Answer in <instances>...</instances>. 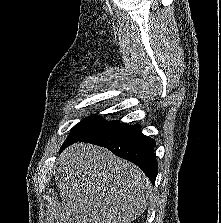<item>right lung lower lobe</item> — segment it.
Returning a JSON list of instances; mask_svg holds the SVG:
<instances>
[{
	"instance_id": "right-lung-lower-lobe-1",
	"label": "right lung lower lobe",
	"mask_w": 221,
	"mask_h": 223,
	"mask_svg": "<svg viewBox=\"0 0 221 223\" xmlns=\"http://www.w3.org/2000/svg\"><path fill=\"white\" fill-rule=\"evenodd\" d=\"M78 141L106 147L115 155L135 163L154 184L158 168L153 151L155 142L140 133L139 125L129 126L116 122L64 145L61 151Z\"/></svg>"
}]
</instances>
